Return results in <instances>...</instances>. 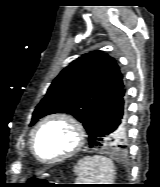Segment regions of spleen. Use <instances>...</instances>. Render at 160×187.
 Returning <instances> with one entry per match:
<instances>
[{
    "instance_id": "3e777b00",
    "label": "spleen",
    "mask_w": 160,
    "mask_h": 187,
    "mask_svg": "<svg viewBox=\"0 0 160 187\" xmlns=\"http://www.w3.org/2000/svg\"><path fill=\"white\" fill-rule=\"evenodd\" d=\"M78 184H111L115 177L113 162L104 156H87L74 166Z\"/></svg>"
}]
</instances>
